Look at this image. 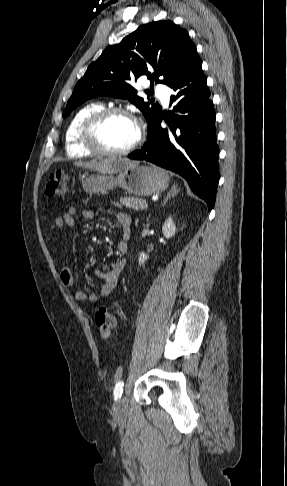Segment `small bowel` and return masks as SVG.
<instances>
[{
  "label": "small bowel",
  "instance_id": "obj_1",
  "mask_svg": "<svg viewBox=\"0 0 287 486\" xmlns=\"http://www.w3.org/2000/svg\"><path fill=\"white\" fill-rule=\"evenodd\" d=\"M78 213L79 210L77 207H70L67 212L54 218L55 226L60 230L74 227L76 224L75 218ZM81 215L85 219H93L95 217V212L92 210H83L81 211ZM116 218L121 226V236L120 240L117 242L116 249L120 254H125L128 251V242L131 236V217L126 212L117 211ZM125 265L126 260L121 258L115 261L108 269L102 267L96 268L93 272V278L102 281L99 292L87 293L84 290L76 289L74 291L75 299L82 302L92 303L98 301L100 298L108 296L116 287ZM60 280L65 287H76V281L68 264H65L60 271Z\"/></svg>",
  "mask_w": 287,
  "mask_h": 486
}]
</instances>
